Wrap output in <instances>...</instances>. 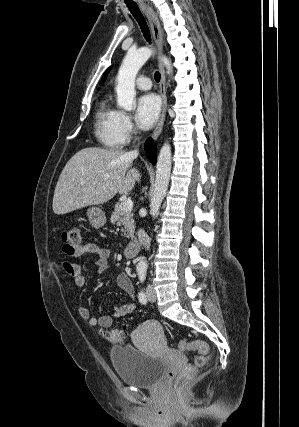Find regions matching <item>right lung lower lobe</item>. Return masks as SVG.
I'll use <instances>...</instances> for the list:
<instances>
[{"label": "right lung lower lobe", "mask_w": 299, "mask_h": 427, "mask_svg": "<svg viewBox=\"0 0 299 427\" xmlns=\"http://www.w3.org/2000/svg\"><path fill=\"white\" fill-rule=\"evenodd\" d=\"M145 151L147 152L148 159L155 164L156 162V147L151 139H148L145 143Z\"/></svg>", "instance_id": "obj_1"}]
</instances>
